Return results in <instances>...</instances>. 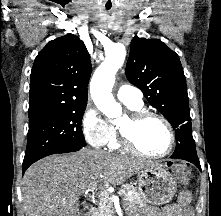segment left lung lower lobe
<instances>
[{"label":"left lung lower lobe","mask_w":221,"mask_h":216,"mask_svg":"<svg viewBox=\"0 0 221 216\" xmlns=\"http://www.w3.org/2000/svg\"><path fill=\"white\" fill-rule=\"evenodd\" d=\"M170 158L184 159L196 165L200 170V162L197 153L191 147L177 143L174 153Z\"/></svg>","instance_id":"obj_1"}]
</instances>
